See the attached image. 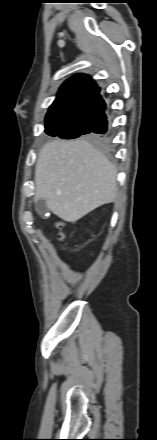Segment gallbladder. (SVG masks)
<instances>
[{
	"label": "gallbladder",
	"instance_id": "1",
	"mask_svg": "<svg viewBox=\"0 0 157 440\" xmlns=\"http://www.w3.org/2000/svg\"><path fill=\"white\" fill-rule=\"evenodd\" d=\"M35 207H36V210H37L38 214L41 217H44L45 214L48 212V207H47L46 202H45L44 199L36 200L35 201Z\"/></svg>",
	"mask_w": 157,
	"mask_h": 440
}]
</instances>
